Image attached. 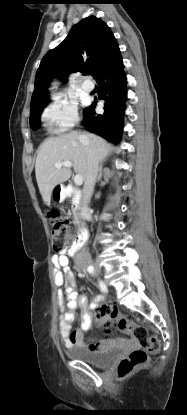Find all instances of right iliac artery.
I'll return each instance as SVG.
<instances>
[{
  "label": "right iliac artery",
  "mask_w": 187,
  "mask_h": 415,
  "mask_svg": "<svg viewBox=\"0 0 187 415\" xmlns=\"http://www.w3.org/2000/svg\"><path fill=\"white\" fill-rule=\"evenodd\" d=\"M87 270H88L89 273L94 274V267L93 266H89ZM99 285H100V288L103 292H107V287L102 281L99 282Z\"/></svg>",
  "instance_id": "obj_1"
}]
</instances>
